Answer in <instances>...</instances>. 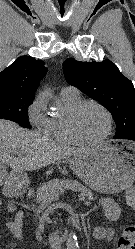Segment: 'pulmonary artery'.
I'll return each mask as SVG.
<instances>
[{
  "mask_svg": "<svg viewBox=\"0 0 135 249\" xmlns=\"http://www.w3.org/2000/svg\"><path fill=\"white\" fill-rule=\"evenodd\" d=\"M60 94L69 96H79V90L72 86H67L61 89Z\"/></svg>",
  "mask_w": 135,
  "mask_h": 249,
  "instance_id": "pulmonary-artery-1",
  "label": "pulmonary artery"
}]
</instances>
